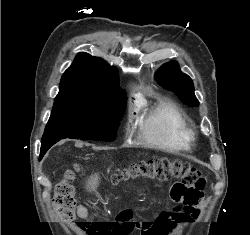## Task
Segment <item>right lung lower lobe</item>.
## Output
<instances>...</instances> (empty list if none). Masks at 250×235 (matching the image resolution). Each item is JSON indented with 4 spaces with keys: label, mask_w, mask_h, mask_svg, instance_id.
Returning <instances> with one entry per match:
<instances>
[{
    "label": "right lung lower lobe",
    "mask_w": 250,
    "mask_h": 235,
    "mask_svg": "<svg viewBox=\"0 0 250 235\" xmlns=\"http://www.w3.org/2000/svg\"><path fill=\"white\" fill-rule=\"evenodd\" d=\"M59 140H50L47 142H41V152H40V160L43 157V155L46 153V151L52 146L54 145L56 142H58Z\"/></svg>",
    "instance_id": "98d812e1"
}]
</instances>
